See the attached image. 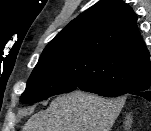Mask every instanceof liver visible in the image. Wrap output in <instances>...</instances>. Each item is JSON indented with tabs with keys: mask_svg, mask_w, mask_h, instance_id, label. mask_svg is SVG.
<instances>
[{
	"mask_svg": "<svg viewBox=\"0 0 151 131\" xmlns=\"http://www.w3.org/2000/svg\"><path fill=\"white\" fill-rule=\"evenodd\" d=\"M121 109L119 100L75 91L55 98L46 110L34 114L22 131H110Z\"/></svg>",
	"mask_w": 151,
	"mask_h": 131,
	"instance_id": "liver-1",
	"label": "liver"
}]
</instances>
